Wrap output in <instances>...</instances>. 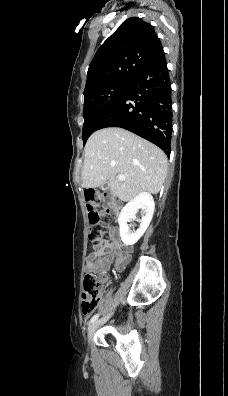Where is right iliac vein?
<instances>
[{"label": "right iliac vein", "mask_w": 228, "mask_h": 396, "mask_svg": "<svg viewBox=\"0 0 228 396\" xmlns=\"http://www.w3.org/2000/svg\"><path fill=\"white\" fill-rule=\"evenodd\" d=\"M110 316H111V314H109L107 317H105V318H103V319H100V320H98V321H96V322H94V323H92V324L90 325L89 330H88V334H87V339H88V341L91 340V337H92V335L94 334V332L96 331V329H97L102 323H104Z\"/></svg>", "instance_id": "1"}]
</instances>
